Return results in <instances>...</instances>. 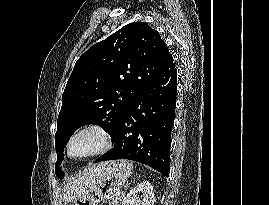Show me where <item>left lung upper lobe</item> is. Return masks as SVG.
<instances>
[{
    "instance_id": "obj_1",
    "label": "left lung upper lobe",
    "mask_w": 269,
    "mask_h": 205,
    "mask_svg": "<svg viewBox=\"0 0 269 205\" xmlns=\"http://www.w3.org/2000/svg\"><path fill=\"white\" fill-rule=\"evenodd\" d=\"M170 55L158 31L147 23L133 22L90 47L77 60L57 120L55 172L60 179L64 147L74 131L96 124L111 135Z\"/></svg>"
}]
</instances>
